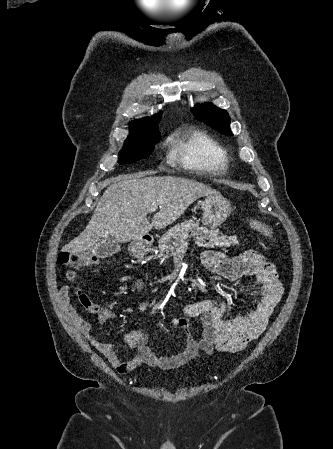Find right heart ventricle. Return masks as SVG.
I'll return each mask as SVG.
<instances>
[{
	"label": "right heart ventricle",
	"mask_w": 333,
	"mask_h": 449,
	"mask_svg": "<svg viewBox=\"0 0 333 449\" xmlns=\"http://www.w3.org/2000/svg\"><path fill=\"white\" fill-rule=\"evenodd\" d=\"M171 156L186 168L219 172L227 164L225 149L211 136L202 131L182 129L169 139Z\"/></svg>",
	"instance_id": "obj_1"
}]
</instances>
